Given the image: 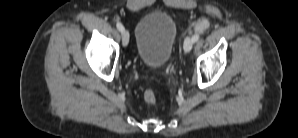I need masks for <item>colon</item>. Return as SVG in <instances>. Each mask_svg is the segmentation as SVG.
I'll list each match as a JSON object with an SVG mask.
<instances>
[{
    "mask_svg": "<svg viewBox=\"0 0 298 138\" xmlns=\"http://www.w3.org/2000/svg\"><path fill=\"white\" fill-rule=\"evenodd\" d=\"M146 96H147V100H148V101H152V99H153L152 94H147Z\"/></svg>",
    "mask_w": 298,
    "mask_h": 138,
    "instance_id": "colon-1",
    "label": "colon"
}]
</instances>
